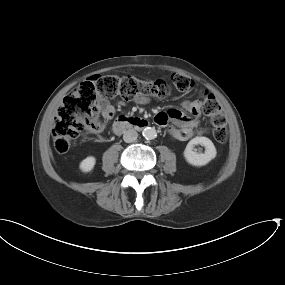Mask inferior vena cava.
<instances>
[{
    "mask_svg": "<svg viewBox=\"0 0 285 285\" xmlns=\"http://www.w3.org/2000/svg\"><path fill=\"white\" fill-rule=\"evenodd\" d=\"M138 137V133L134 129H129L124 132L123 140L127 143L134 142Z\"/></svg>",
    "mask_w": 285,
    "mask_h": 285,
    "instance_id": "1",
    "label": "inferior vena cava"
}]
</instances>
